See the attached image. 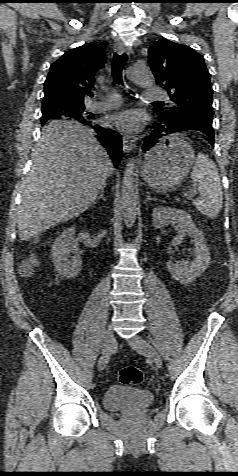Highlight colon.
Returning a JSON list of instances; mask_svg holds the SVG:
<instances>
[{
	"mask_svg": "<svg viewBox=\"0 0 238 476\" xmlns=\"http://www.w3.org/2000/svg\"><path fill=\"white\" fill-rule=\"evenodd\" d=\"M34 265L35 261H28L23 263L21 266V274L24 276H28L29 274H31ZM119 380L124 385L137 386L143 380V373L141 369L137 366H127L120 370Z\"/></svg>",
	"mask_w": 238,
	"mask_h": 476,
	"instance_id": "obj_1",
	"label": "colon"
}]
</instances>
